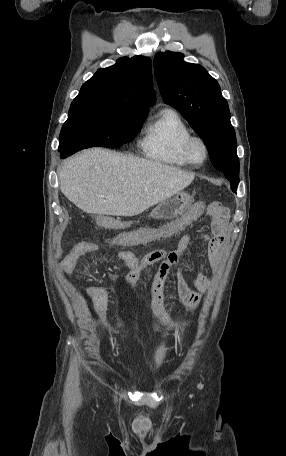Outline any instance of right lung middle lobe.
<instances>
[{
  "label": "right lung middle lobe",
  "instance_id": "1",
  "mask_svg": "<svg viewBox=\"0 0 286 456\" xmlns=\"http://www.w3.org/2000/svg\"><path fill=\"white\" fill-rule=\"evenodd\" d=\"M148 113L104 105L71 103L67 121L60 132L58 151L65 158L89 147L117 148L140 132Z\"/></svg>",
  "mask_w": 286,
  "mask_h": 456
}]
</instances>
